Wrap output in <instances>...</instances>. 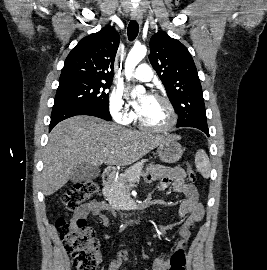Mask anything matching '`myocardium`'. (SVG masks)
Returning <instances> with one entry per match:
<instances>
[{
  "label": "myocardium",
  "mask_w": 267,
  "mask_h": 270,
  "mask_svg": "<svg viewBox=\"0 0 267 270\" xmlns=\"http://www.w3.org/2000/svg\"><path fill=\"white\" fill-rule=\"evenodd\" d=\"M155 99H157L158 101H160L161 103H163L166 106V108L168 110V114H169L168 123L165 124L164 126H161V127L151 126V125L146 124L142 120L141 116L139 115L138 118H137L138 124L142 129L150 131V132H154V133H166V132H169L175 127V125L177 123L176 110H175L173 104L171 103V101L168 98H166V97H164L162 95H155Z\"/></svg>",
  "instance_id": "f54148a6"
}]
</instances>
